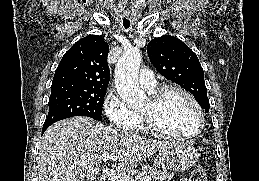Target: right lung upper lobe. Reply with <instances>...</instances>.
<instances>
[{"label": "right lung upper lobe", "instance_id": "obj_1", "mask_svg": "<svg viewBox=\"0 0 259 181\" xmlns=\"http://www.w3.org/2000/svg\"><path fill=\"white\" fill-rule=\"evenodd\" d=\"M108 52L109 46L100 36L88 35L80 39L63 55L51 87L107 88Z\"/></svg>", "mask_w": 259, "mask_h": 181}]
</instances>
